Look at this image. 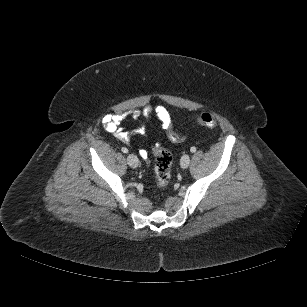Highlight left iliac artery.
Here are the masks:
<instances>
[{"label": "left iliac artery", "instance_id": "obj_1", "mask_svg": "<svg viewBox=\"0 0 307 307\" xmlns=\"http://www.w3.org/2000/svg\"><path fill=\"white\" fill-rule=\"evenodd\" d=\"M190 151H191L192 153L196 152V147H191Z\"/></svg>", "mask_w": 307, "mask_h": 307}]
</instances>
